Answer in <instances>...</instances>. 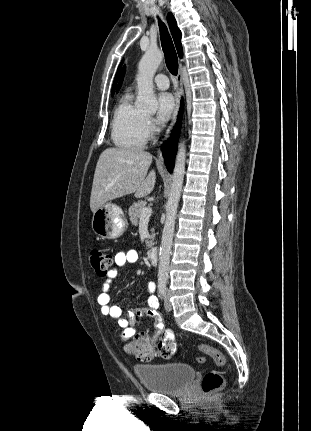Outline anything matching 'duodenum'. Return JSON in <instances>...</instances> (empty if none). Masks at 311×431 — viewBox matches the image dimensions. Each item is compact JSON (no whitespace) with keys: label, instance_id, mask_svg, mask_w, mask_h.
<instances>
[{"label":"duodenum","instance_id":"duodenum-1","mask_svg":"<svg viewBox=\"0 0 311 431\" xmlns=\"http://www.w3.org/2000/svg\"><path fill=\"white\" fill-rule=\"evenodd\" d=\"M148 259L152 264H156L158 261V249L156 247H151L147 251Z\"/></svg>","mask_w":311,"mask_h":431}]
</instances>
